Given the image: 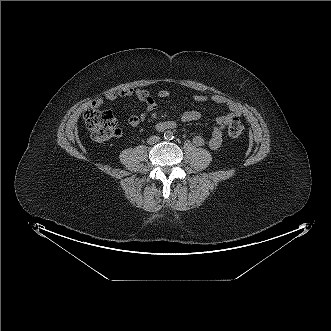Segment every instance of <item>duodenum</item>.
Segmentation results:
<instances>
[{"label": "duodenum", "instance_id": "duodenum-1", "mask_svg": "<svg viewBox=\"0 0 331 331\" xmlns=\"http://www.w3.org/2000/svg\"><path fill=\"white\" fill-rule=\"evenodd\" d=\"M176 127V124L174 122H170L168 124H166L165 129H174Z\"/></svg>", "mask_w": 331, "mask_h": 331}]
</instances>
